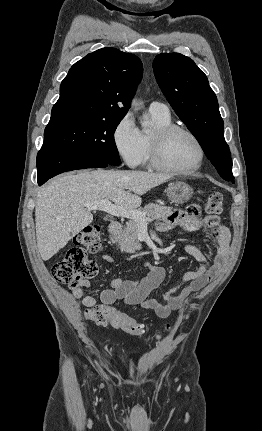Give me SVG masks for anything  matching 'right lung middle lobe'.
I'll use <instances>...</instances> for the list:
<instances>
[{
    "label": "right lung middle lobe",
    "mask_w": 262,
    "mask_h": 431,
    "mask_svg": "<svg viewBox=\"0 0 262 431\" xmlns=\"http://www.w3.org/2000/svg\"><path fill=\"white\" fill-rule=\"evenodd\" d=\"M121 120L80 119L47 125L41 149L80 153L119 165L114 132Z\"/></svg>",
    "instance_id": "right-lung-middle-lobe-1"
}]
</instances>
